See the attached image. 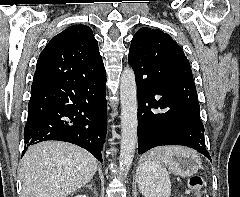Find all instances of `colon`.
Returning <instances> with one entry per match:
<instances>
[{
    "label": "colon",
    "instance_id": "1",
    "mask_svg": "<svg viewBox=\"0 0 240 197\" xmlns=\"http://www.w3.org/2000/svg\"><path fill=\"white\" fill-rule=\"evenodd\" d=\"M189 192L193 197H201L203 179L199 175H194L189 179Z\"/></svg>",
    "mask_w": 240,
    "mask_h": 197
}]
</instances>
